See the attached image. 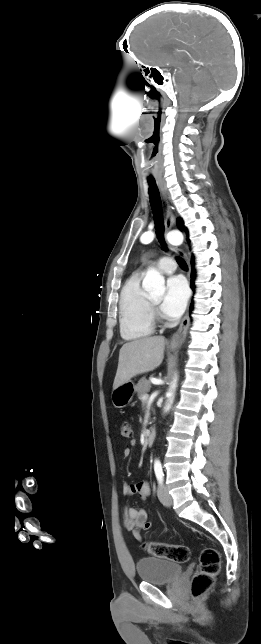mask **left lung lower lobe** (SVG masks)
<instances>
[{
    "instance_id": "obj_1",
    "label": "left lung lower lobe",
    "mask_w": 261,
    "mask_h": 644,
    "mask_svg": "<svg viewBox=\"0 0 261 644\" xmlns=\"http://www.w3.org/2000/svg\"><path fill=\"white\" fill-rule=\"evenodd\" d=\"M191 264H192V265L194 264V263H193V261L191 262ZM191 277H192V284H191V287H192V289H194V284H193V281H194V279H195V270H194V269L192 270ZM192 306H193V305L191 304V306H190V312H191V310H192Z\"/></svg>"
}]
</instances>
